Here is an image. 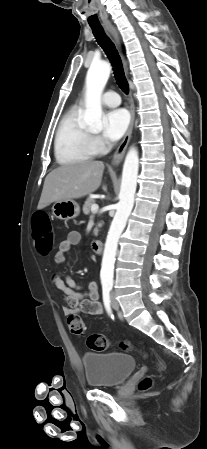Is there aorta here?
Here are the masks:
<instances>
[{
  "label": "aorta",
  "instance_id": "762f6f07",
  "mask_svg": "<svg viewBox=\"0 0 207 449\" xmlns=\"http://www.w3.org/2000/svg\"><path fill=\"white\" fill-rule=\"evenodd\" d=\"M110 70V65L105 61H101L92 63L87 72L86 110L83 116V123L93 129L102 128L101 96L110 76ZM138 168V151L136 148L131 147L123 165L119 202L105 243L100 271L101 283L103 285L113 284L118 241L134 206Z\"/></svg>",
  "mask_w": 207,
  "mask_h": 449
}]
</instances>
